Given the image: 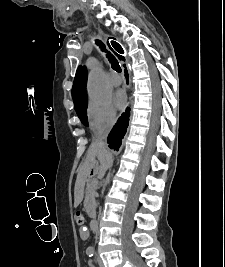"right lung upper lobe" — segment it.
Instances as JSON below:
<instances>
[{"instance_id": "1", "label": "right lung upper lobe", "mask_w": 225, "mask_h": 267, "mask_svg": "<svg viewBox=\"0 0 225 267\" xmlns=\"http://www.w3.org/2000/svg\"><path fill=\"white\" fill-rule=\"evenodd\" d=\"M86 83H87V69L86 67L79 66L75 75L72 97L74 106H78L82 101L87 99L86 94Z\"/></svg>"}]
</instances>
